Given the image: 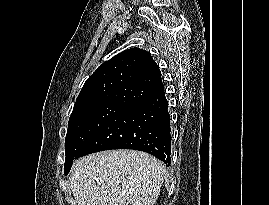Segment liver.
Returning <instances> with one entry per match:
<instances>
[{"label": "liver", "instance_id": "6515ba94", "mask_svg": "<svg viewBox=\"0 0 269 205\" xmlns=\"http://www.w3.org/2000/svg\"><path fill=\"white\" fill-rule=\"evenodd\" d=\"M165 166L136 150H111L78 159L70 183L78 205H154Z\"/></svg>", "mask_w": 269, "mask_h": 205}]
</instances>
